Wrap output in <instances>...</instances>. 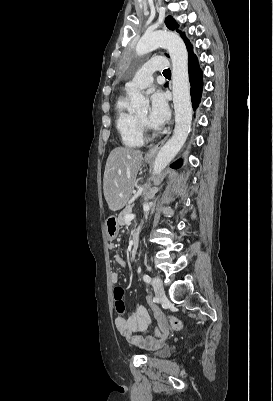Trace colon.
I'll return each instance as SVG.
<instances>
[{"label": "colon", "mask_w": 273, "mask_h": 401, "mask_svg": "<svg viewBox=\"0 0 273 401\" xmlns=\"http://www.w3.org/2000/svg\"><path fill=\"white\" fill-rule=\"evenodd\" d=\"M114 300H115V312L119 318H123L126 312L125 303L123 300L124 289L122 286H117L114 288Z\"/></svg>", "instance_id": "colon-1"}]
</instances>
